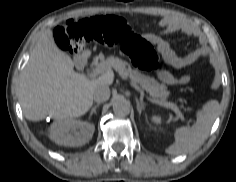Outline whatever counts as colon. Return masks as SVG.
I'll return each mask as SVG.
<instances>
[{
	"instance_id": "1",
	"label": "colon",
	"mask_w": 236,
	"mask_h": 182,
	"mask_svg": "<svg viewBox=\"0 0 236 182\" xmlns=\"http://www.w3.org/2000/svg\"><path fill=\"white\" fill-rule=\"evenodd\" d=\"M54 37L58 46L71 54L81 51L88 43L95 42L119 46L141 70L149 71L157 66V57L150 43L119 17L70 19L56 27Z\"/></svg>"
}]
</instances>
